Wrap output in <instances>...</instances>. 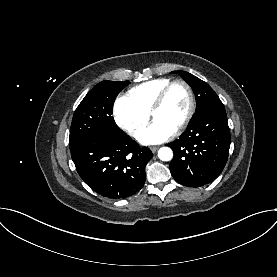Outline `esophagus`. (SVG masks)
Wrapping results in <instances>:
<instances>
[{"mask_svg":"<svg viewBox=\"0 0 277 277\" xmlns=\"http://www.w3.org/2000/svg\"><path fill=\"white\" fill-rule=\"evenodd\" d=\"M150 149L153 153H155L159 149V147L158 146H152V147H150Z\"/></svg>","mask_w":277,"mask_h":277,"instance_id":"esophagus-1","label":"esophagus"}]
</instances>
